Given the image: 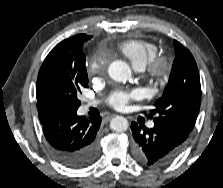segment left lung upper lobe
Wrapping results in <instances>:
<instances>
[{
    "instance_id": "5c2ea615",
    "label": "left lung upper lobe",
    "mask_w": 223,
    "mask_h": 188,
    "mask_svg": "<svg viewBox=\"0 0 223 188\" xmlns=\"http://www.w3.org/2000/svg\"><path fill=\"white\" fill-rule=\"evenodd\" d=\"M176 59L161 98L154 103V123L174 134L183 144L194 128L201 103L196 62L188 49L174 40Z\"/></svg>"
}]
</instances>
